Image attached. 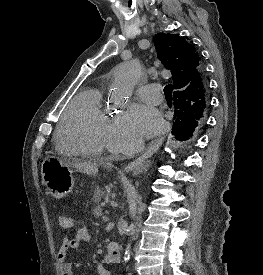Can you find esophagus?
<instances>
[{
  "mask_svg": "<svg viewBox=\"0 0 263 275\" xmlns=\"http://www.w3.org/2000/svg\"><path fill=\"white\" fill-rule=\"evenodd\" d=\"M165 133L163 132L158 138L153 140L149 143L147 149L145 152L139 156L137 159L133 160L131 163H129L125 168V172H140L143 169H145L144 161L151 157L161 146L162 142L164 141Z\"/></svg>",
  "mask_w": 263,
  "mask_h": 275,
  "instance_id": "esophagus-1",
  "label": "esophagus"
}]
</instances>
